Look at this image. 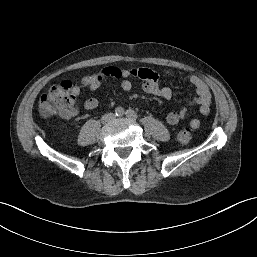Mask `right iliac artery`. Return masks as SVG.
I'll use <instances>...</instances> for the list:
<instances>
[{
  "label": "right iliac artery",
  "instance_id": "obj_1",
  "mask_svg": "<svg viewBox=\"0 0 257 257\" xmlns=\"http://www.w3.org/2000/svg\"><path fill=\"white\" fill-rule=\"evenodd\" d=\"M115 114H116V116H123V115H124V109L121 108V107H118V108L115 110Z\"/></svg>",
  "mask_w": 257,
  "mask_h": 257
}]
</instances>
